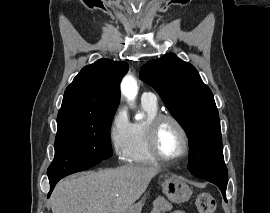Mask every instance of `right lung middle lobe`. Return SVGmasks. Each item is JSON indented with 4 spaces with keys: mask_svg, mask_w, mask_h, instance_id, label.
Masks as SVG:
<instances>
[{
    "mask_svg": "<svg viewBox=\"0 0 270 213\" xmlns=\"http://www.w3.org/2000/svg\"><path fill=\"white\" fill-rule=\"evenodd\" d=\"M114 113L57 117L55 157L48 175L95 165L112 156L109 130Z\"/></svg>",
    "mask_w": 270,
    "mask_h": 213,
    "instance_id": "right-lung-middle-lobe-1",
    "label": "right lung middle lobe"
}]
</instances>
